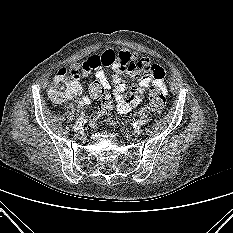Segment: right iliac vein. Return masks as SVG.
Segmentation results:
<instances>
[{
  "mask_svg": "<svg viewBox=\"0 0 233 233\" xmlns=\"http://www.w3.org/2000/svg\"><path fill=\"white\" fill-rule=\"evenodd\" d=\"M75 136L79 139H82L84 137V133L82 131H79L75 134Z\"/></svg>",
  "mask_w": 233,
  "mask_h": 233,
  "instance_id": "obj_1",
  "label": "right iliac vein"
}]
</instances>
